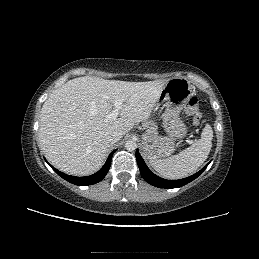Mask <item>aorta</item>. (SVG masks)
I'll use <instances>...</instances> for the list:
<instances>
[{
    "instance_id": "1",
    "label": "aorta",
    "mask_w": 259,
    "mask_h": 259,
    "mask_svg": "<svg viewBox=\"0 0 259 259\" xmlns=\"http://www.w3.org/2000/svg\"><path fill=\"white\" fill-rule=\"evenodd\" d=\"M125 148L128 151H134L137 148V144H136V142L134 140H128L125 143Z\"/></svg>"
}]
</instances>
